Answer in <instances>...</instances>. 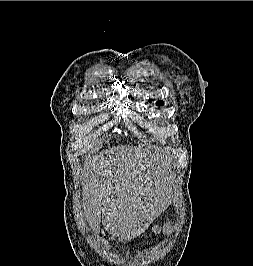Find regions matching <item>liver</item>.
Masks as SVG:
<instances>
[{"mask_svg":"<svg viewBox=\"0 0 253 266\" xmlns=\"http://www.w3.org/2000/svg\"><path fill=\"white\" fill-rule=\"evenodd\" d=\"M167 158L135 146H118L89 158L83 188L85 220L92 232L100 222L119 241H130L153 220L157 183Z\"/></svg>","mask_w":253,"mask_h":266,"instance_id":"liver-1","label":"liver"}]
</instances>
